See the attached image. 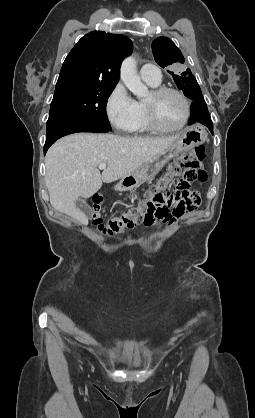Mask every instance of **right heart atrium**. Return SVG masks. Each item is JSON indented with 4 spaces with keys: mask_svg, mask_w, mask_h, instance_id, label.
<instances>
[{
    "mask_svg": "<svg viewBox=\"0 0 255 418\" xmlns=\"http://www.w3.org/2000/svg\"><path fill=\"white\" fill-rule=\"evenodd\" d=\"M105 111L110 124L122 132L131 131L138 116L137 102L121 83H118L109 94Z\"/></svg>",
    "mask_w": 255,
    "mask_h": 418,
    "instance_id": "obj_1",
    "label": "right heart atrium"
}]
</instances>
